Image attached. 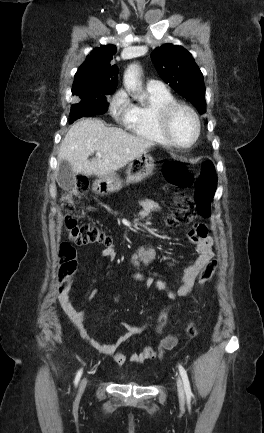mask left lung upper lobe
Masks as SVG:
<instances>
[{"label": "left lung upper lobe", "instance_id": "obj_1", "mask_svg": "<svg viewBox=\"0 0 264 433\" xmlns=\"http://www.w3.org/2000/svg\"><path fill=\"white\" fill-rule=\"evenodd\" d=\"M160 77L189 100L200 114L206 112L203 75L191 54L181 46L164 44L151 54Z\"/></svg>", "mask_w": 264, "mask_h": 433}]
</instances>
